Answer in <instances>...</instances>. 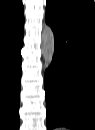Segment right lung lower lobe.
<instances>
[{
  "instance_id": "right-lung-lower-lobe-1",
  "label": "right lung lower lobe",
  "mask_w": 95,
  "mask_h": 130,
  "mask_svg": "<svg viewBox=\"0 0 95 130\" xmlns=\"http://www.w3.org/2000/svg\"><path fill=\"white\" fill-rule=\"evenodd\" d=\"M24 29L0 38V111L3 129L18 130Z\"/></svg>"
}]
</instances>
